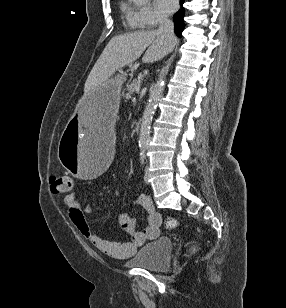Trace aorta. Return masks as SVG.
Here are the masks:
<instances>
[{
  "label": "aorta",
  "instance_id": "obj_1",
  "mask_svg": "<svg viewBox=\"0 0 286 308\" xmlns=\"http://www.w3.org/2000/svg\"><path fill=\"white\" fill-rule=\"evenodd\" d=\"M132 1L136 4H141L145 0H132ZM164 87H165V77L161 75L159 80L157 81V83L150 92L149 100L143 113L140 135H139V145L141 147H146L149 143L150 126L152 123L153 115L155 113L158 101L162 96Z\"/></svg>",
  "mask_w": 286,
  "mask_h": 308
}]
</instances>
